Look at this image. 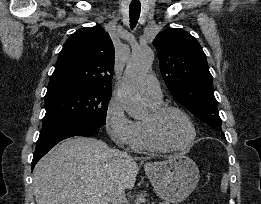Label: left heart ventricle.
I'll return each instance as SVG.
<instances>
[{"instance_id":"left-heart-ventricle-1","label":"left heart ventricle","mask_w":261,"mask_h":204,"mask_svg":"<svg viewBox=\"0 0 261 204\" xmlns=\"http://www.w3.org/2000/svg\"><path fill=\"white\" fill-rule=\"evenodd\" d=\"M161 131L164 138L175 146L186 144L192 135L186 119L176 112H170L163 118Z\"/></svg>"}]
</instances>
